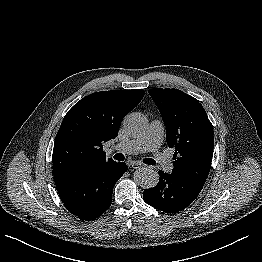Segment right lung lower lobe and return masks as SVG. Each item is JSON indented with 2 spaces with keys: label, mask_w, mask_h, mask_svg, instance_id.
I'll return each instance as SVG.
<instances>
[{
  "label": "right lung lower lobe",
  "mask_w": 262,
  "mask_h": 262,
  "mask_svg": "<svg viewBox=\"0 0 262 262\" xmlns=\"http://www.w3.org/2000/svg\"><path fill=\"white\" fill-rule=\"evenodd\" d=\"M127 171L125 163H106L69 174H54L66 208L81 220H93L111 205L114 184Z\"/></svg>",
  "instance_id": "right-lung-lower-lobe-1"
}]
</instances>
